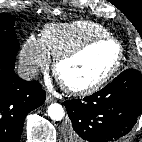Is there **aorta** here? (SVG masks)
<instances>
[{
	"instance_id": "obj_1",
	"label": "aorta",
	"mask_w": 142,
	"mask_h": 142,
	"mask_svg": "<svg viewBox=\"0 0 142 142\" xmlns=\"http://www.w3.org/2000/svg\"><path fill=\"white\" fill-rule=\"evenodd\" d=\"M48 116L55 121H60L64 117V109L58 103H53L48 107Z\"/></svg>"
}]
</instances>
